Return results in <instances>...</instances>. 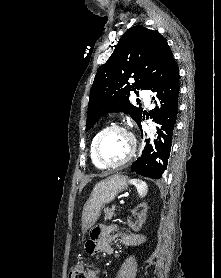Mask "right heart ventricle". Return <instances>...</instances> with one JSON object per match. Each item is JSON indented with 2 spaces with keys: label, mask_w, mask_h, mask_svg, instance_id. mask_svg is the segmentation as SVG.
<instances>
[{
  "label": "right heart ventricle",
  "mask_w": 221,
  "mask_h": 278,
  "mask_svg": "<svg viewBox=\"0 0 221 278\" xmlns=\"http://www.w3.org/2000/svg\"><path fill=\"white\" fill-rule=\"evenodd\" d=\"M101 131L102 130L96 132V134L91 139L90 146H89V153H90L91 161L98 168H102V167L98 164V162L95 159V156H94V143H95V140H96V138L98 137V135L100 134Z\"/></svg>",
  "instance_id": "e07e8e85"
}]
</instances>
